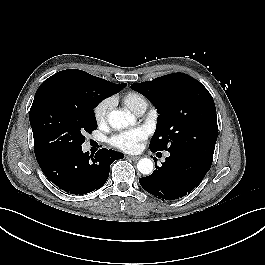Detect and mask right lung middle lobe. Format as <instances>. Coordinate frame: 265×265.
Returning <instances> with one entry per match:
<instances>
[{
  "label": "right lung middle lobe",
  "mask_w": 265,
  "mask_h": 265,
  "mask_svg": "<svg viewBox=\"0 0 265 265\" xmlns=\"http://www.w3.org/2000/svg\"><path fill=\"white\" fill-rule=\"evenodd\" d=\"M106 97L102 92L81 98H71L54 90L36 92L29 113L35 156L81 148L84 135L97 129L93 109Z\"/></svg>",
  "instance_id": "1"
}]
</instances>
